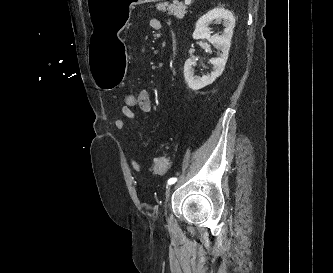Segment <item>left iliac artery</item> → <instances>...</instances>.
I'll list each match as a JSON object with an SVG mask.
<instances>
[{"label":"left iliac artery","instance_id":"44dca946","mask_svg":"<svg viewBox=\"0 0 333 273\" xmlns=\"http://www.w3.org/2000/svg\"><path fill=\"white\" fill-rule=\"evenodd\" d=\"M177 181V178H170L169 180H168V185H172V184H174L175 182Z\"/></svg>","mask_w":333,"mask_h":273}]
</instances>
